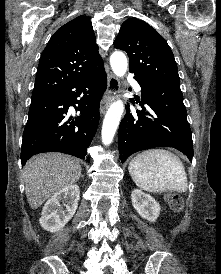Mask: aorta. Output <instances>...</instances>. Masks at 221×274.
Instances as JSON below:
<instances>
[{"label":"aorta","instance_id":"aorta-1","mask_svg":"<svg viewBox=\"0 0 221 274\" xmlns=\"http://www.w3.org/2000/svg\"><path fill=\"white\" fill-rule=\"evenodd\" d=\"M110 64L113 72L118 77H123L127 71V58L121 51H115L110 57ZM124 104L121 100H117L109 107L102 125V142L109 145L113 141L114 135L118 128L121 116L123 114Z\"/></svg>","mask_w":221,"mask_h":274}]
</instances>
